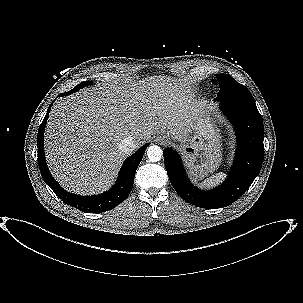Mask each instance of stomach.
<instances>
[{"label": "stomach", "mask_w": 303, "mask_h": 303, "mask_svg": "<svg viewBox=\"0 0 303 303\" xmlns=\"http://www.w3.org/2000/svg\"><path fill=\"white\" fill-rule=\"evenodd\" d=\"M192 131L194 135L181 149L191 173L195 177H204L220 166L222 154L219 134L210 116L203 111L194 121Z\"/></svg>", "instance_id": "1"}]
</instances>
